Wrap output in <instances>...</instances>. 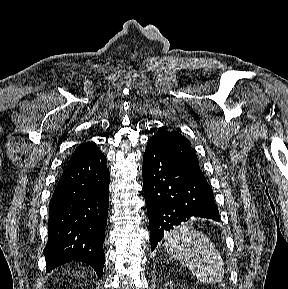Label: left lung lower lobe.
Wrapping results in <instances>:
<instances>
[{"instance_id": "1", "label": "left lung lower lobe", "mask_w": 288, "mask_h": 289, "mask_svg": "<svg viewBox=\"0 0 288 289\" xmlns=\"http://www.w3.org/2000/svg\"><path fill=\"white\" fill-rule=\"evenodd\" d=\"M142 175L151 250L165 231L191 217L220 221L213 191L203 173L178 162L152 139L143 156Z\"/></svg>"}]
</instances>
